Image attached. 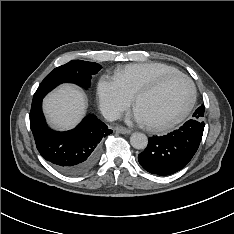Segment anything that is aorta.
I'll use <instances>...</instances> for the list:
<instances>
[{
	"label": "aorta",
	"mask_w": 234,
	"mask_h": 234,
	"mask_svg": "<svg viewBox=\"0 0 234 234\" xmlns=\"http://www.w3.org/2000/svg\"><path fill=\"white\" fill-rule=\"evenodd\" d=\"M131 145L138 150L145 149L148 144L147 136L140 132H135L130 137Z\"/></svg>",
	"instance_id": "762f6f07"
}]
</instances>
